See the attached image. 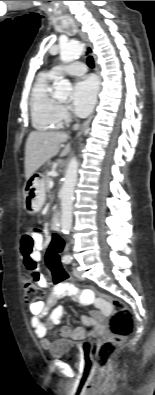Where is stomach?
Listing matches in <instances>:
<instances>
[{"instance_id": "stomach-1", "label": "stomach", "mask_w": 155, "mask_h": 395, "mask_svg": "<svg viewBox=\"0 0 155 395\" xmlns=\"http://www.w3.org/2000/svg\"><path fill=\"white\" fill-rule=\"evenodd\" d=\"M24 208L34 214L41 210L45 202L44 179L39 174H33L26 182L23 190Z\"/></svg>"}]
</instances>
